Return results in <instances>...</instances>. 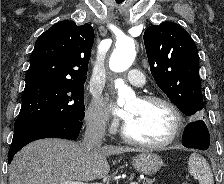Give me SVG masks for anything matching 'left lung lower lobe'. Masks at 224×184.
I'll list each match as a JSON object with an SVG mask.
<instances>
[{"instance_id":"0a47b994","label":"left lung lower lobe","mask_w":224,"mask_h":184,"mask_svg":"<svg viewBox=\"0 0 224 184\" xmlns=\"http://www.w3.org/2000/svg\"><path fill=\"white\" fill-rule=\"evenodd\" d=\"M209 143V132L203 120H196L187 126L182 138L185 147L206 150Z\"/></svg>"}]
</instances>
